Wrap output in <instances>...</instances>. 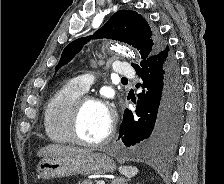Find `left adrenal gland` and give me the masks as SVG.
I'll use <instances>...</instances> for the list:
<instances>
[{"label": "left adrenal gland", "instance_id": "left-adrenal-gland-1", "mask_svg": "<svg viewBox=\"0 0 224 184\" xmlns=\"http://www.w3.org/2000/svg\"><path fill=\"white\" fill-rule=\"evenodd\" d=\"M129 179H126L124 177H118L116 179H113L111 181V184H128Z\"/></svg>", "mask_w": 224, "mask_h": 184}]
</instances>
